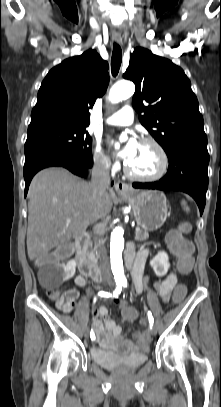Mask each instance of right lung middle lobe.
I'll return each mask as SVG.
<instances>
[{
    "mask_svg": "<svg viewBox=\"0 0 221 407\" xmlns=\"http://www.w3.org/2000/svg\"><path fill=\"white\" fill-rule=\"evenodd\" d=\"M38 148H56L92 163V138L84 126L52 124L28 128L25 156Z\"/></svg>",
    "mask_w": 221,
    "mask_h": 407,
    "instance_id": "right-lung-middle-lobe-1",
    "label": "right lung middle lobe"
}]
</instances>
